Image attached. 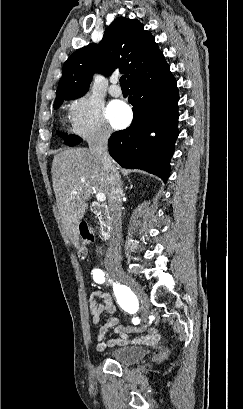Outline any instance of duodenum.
Here are the masks:
<instances>
[{
  "instance_id": "duodenum-1",
  "label": "duodenum",
  "mask_w": 243,
  "mask_h": 409,
  "mask_svg": "<svg viewBox=\"0 0 243 409\" xmlns=\"http://www.w3.org/2000/svg\"><path fill=\"white\" fill-rule=\"evenodd\" d=\"M92 210L96 214L100 222V235L103 238H108L112 229V214L110 207L103 203H93Z\"/></svg>"
}]
</instances>
